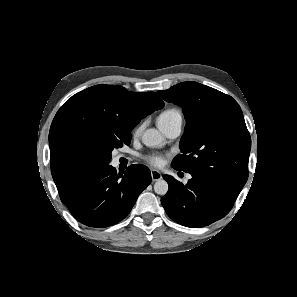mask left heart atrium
Segmentation results:
<instances>
[{"instance_id": "1", "label": "left heart atrium", "mask_w": 297, "mask_h": 297, "mask_svg": "<svg viewBox=\"0 0 297 297\" xmlns=\"http://www.w3.org/2000/svg\"><path fill=\"white\" fill-rule=\"evenodd\" d=\"M148 162L154 167H161L165 162V157L162 154H151L147 158Z\"/></svg>"}]
</instances>
